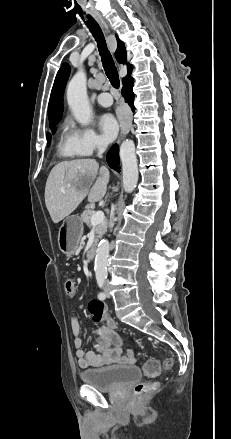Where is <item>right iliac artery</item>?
<instances>
[{
  "label": "right iliac artery",
  "instance_id": "82829eb1",
  "mask_svg": "<svg viewBox=\"0 0 231 439\" xmlns=\"http://www.w3.org/2000/svg\"><path fill=\"white\" fill-rule=\"evenodd\" d=\"M97 282H98L99 287L101 288L104 284V279H98ZM98 298L100 300H104L106 298V294L104 292H100L98 294Z\"/></svg>",
  "mask_w": 231,
  "mask_h": 439
}]
</instances>
